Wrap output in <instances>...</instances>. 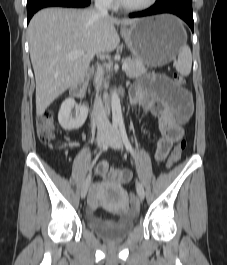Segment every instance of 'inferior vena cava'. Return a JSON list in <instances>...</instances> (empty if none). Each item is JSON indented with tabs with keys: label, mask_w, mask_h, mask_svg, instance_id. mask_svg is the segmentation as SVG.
Returning a JSON list of instances; mask_svg holds the SVG:
<instances>
[{
	"label": "inferior vena cava",
	"mask_w": 227,
	"mask_h": 265,
	"mask_svg": "<svg viewBox=\"0 0 227 265\" xmlns=\"http://www.w3.org/2000/svg\"><path fill=\"white\" fill-rule=\"evenodd\" d=\"M95 8L97 9L98 13L102 16H108V11L105 6L101 3L100 0L95 1ZM102 83V69L97 64V73L95 77V84H96V98L94 103V111H95V121L98 132H108L111 128V124L109 119L106 115L105 109L103 107V103L101 100V96H99V90Z\"/></svg>",
	"instance_id": "1"
}]
</instances>
